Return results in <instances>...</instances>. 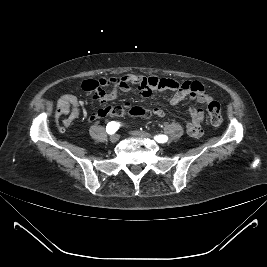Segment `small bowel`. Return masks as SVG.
I'll use <instances>...</instances> for the list:
<instances>
[{"label":"small bowel","instance_id":"obj_1","mask_svg":"<svg viewBox=\"0 0 267 267\" xmlns=\"http://www.w3.org/2000/svg\"><path fill=\"white\" fill-rule=\"evenodd\" d=\"M109 86H112L113 90L107 93L105 88ZM82 88L84 91L91 93L95 101L102 104L115 100L119 91L131 90H137L142 98H147L156 92L165 93L167 91H174V95L170 101L173 106L180 104L186 97H190L199 103H209L212 101V97L206 92L203 84L199 81L178 82L155 76L126 74L119 77L91 79L84 81ZM128 106V103H124L117 107L126 109ZM114 108H102L90 115L87 119L94 121L104 117L111 113ZM79 110L80 103L78 98L70 94L64 95L57 102L56 116H66L63 124L64 126H69L78 117ZM153 114L160 118L165 116L164 111L160 108H155ZM203 121V110L196 106H191L189 109V121L186 123L188 134L195 138L202 136L203 131L201 125Z\"/></svg>","mask_w":267,"mask_h":267}]
</instances>
